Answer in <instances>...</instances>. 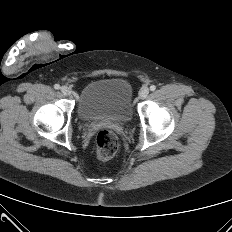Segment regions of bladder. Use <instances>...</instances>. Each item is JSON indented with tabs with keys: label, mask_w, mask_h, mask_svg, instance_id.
Segmentation results:
<instances>
[{
	"label": "bladder",
	"mask_w": 232,
	"mask_h": 232,
	"mask_svg": "<svg viewBox=\"0 0 232 232\" xmlns=\"http://www.w3.org/2000/svg\"><path fill=\"white\" fill-rule=\"evenodd\" d=\"M77 114L84 121H129L134 114L130 83L121 77L98 79L88 83L79 94Z\"/></svg>",
	"instance_id": "1"
}]
</instances>
